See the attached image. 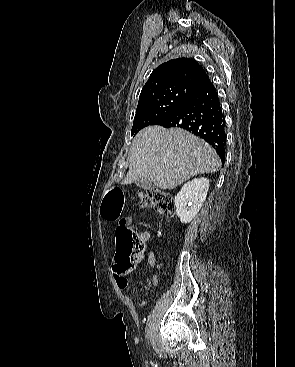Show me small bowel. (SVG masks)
Segmentation results:
<instances>
[{"instance_id":"obj_1","label":"small bowel","mask_w":295,"mask_h":367,"mask_svg":"<svg viewBox=\"0 0 295 367\" xmlns=\"http://www.w3.org/2000/svg\"><path fill=\"white\" fill-rule=\"evenodd\" d=\"M132 223V218L131 217H126V218H123L120 220V222L118 223L117 227L119 225H124V226H128ZM148 236L147 234H144L143 235V239L144 240H147ZM148 263H149V266L151 267L152 270H154L155 268H158V264L156 262V259H155V256L153 255L152 252H148ZM112 270H113V276H114V279H115V282L118 286V288L120 289H126L129 285H130V280L129 278L125 275V274H122V273H119L115 267L113 266L112 267ZM158 284V277L156 274H152V277L148 280H146V285L148 286H151V285H154L156 286ZM135 304L138 306V307H143L146 305V301H138V302H135Z\"/></svg>"}]
</instances>
